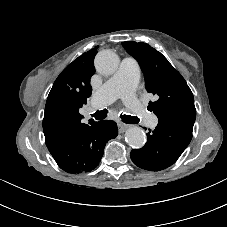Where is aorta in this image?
Wrapping results in <instances>:
<instances>
[{"label": "aorta", "mask_w": 227, "mask_h": 227, "mask_svg": "<svg viewBox=\"0 0 227 227\" xmlns=\"http://www.w3.org/2000/svg\"><path fill=\"white\" fill-rule=\"evenodd\" d=\"M119 65L118 56L111 50L100 51L95 58L96 70L103 75L113 74ZM126 142L135 149L141 148L146 143V134L138 126H132L125 132Z\"/></svg>", "instance_id": "obj_1"}]
</instances>
